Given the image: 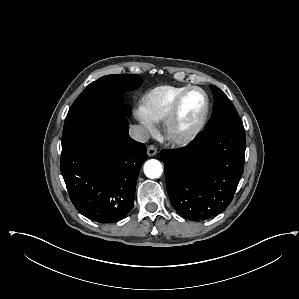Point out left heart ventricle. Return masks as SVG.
<instances>
[{"instance_id": "obj_1", "label": "left heart ventricle", "mask_w": 299, "mask_h": 299, "mask_svg": "<svg viewBox=\"0 0 299 299\" xmlns=\"http://www.w3.org/2000/svg\"><path fill=\"white\" fill-rule=\"evenodd\" d=\"M204 107V99L200 92H190L181 106L178 125L180 128H187L200 116Z\"/></svg>"}]
</instances>
